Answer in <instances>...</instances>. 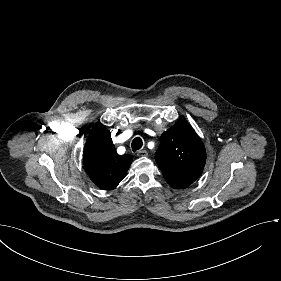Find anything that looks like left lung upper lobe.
I'll return each instance as SVG.
<instances>
[{"instance_id": "left-lung-upper-lobe-1", "label": "left lung upper lobe", "mask_w": 281, "mask_h": 281, "mask_svg": "<svg viewBox=\"0 0 281 281\" xmlns=\"http://www.w3.org/2000/svg\"><path fill=\"white\" fill-rule=\"evenodd\" d=\"M155 160L168 184L181 189L201 175L206 152L194 129L185 119H180L162 134Z\"/></svg>"}]
</instances>
